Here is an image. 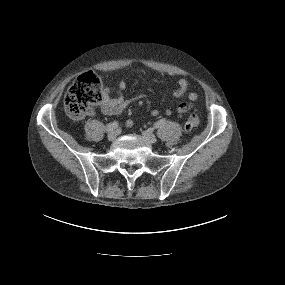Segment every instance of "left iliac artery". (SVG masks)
<instances>
[{
    "mask_svg": "<svg viewBox=\"0 0 285 285\" xmlns=\"http://www.w3.org/2000/svg\"><path fill=\"white\" fill-rule=\"evenodd\" d=\"M166 120L163 118L154 124L155 128H159L165 124Z\"/></svg>",
    "mask_w": 285,
    "mask_h": 285,
    "instance_id": "left-iliac-artery-1",
    "label": "left iliac artery"
}]
</instances>
